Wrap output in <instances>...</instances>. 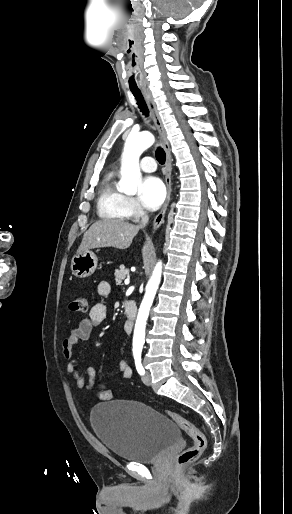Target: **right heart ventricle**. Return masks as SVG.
<instances>
[{
	"label": "right heart ventricle",
	"mask_w": 292,
	"mask_h": 514,
	"mask_svg": "<svg viewBox=\"0 0 292 514\" xmlns=\"http://www.w3.org/2000/svg\"><path fill=\"white\" fill-rule=\"evenodd\" d=\"M115 173L104 175L97 191V212L100 218L121 220L129 213L128 197L114 184Z\"/></svg>",
	"instance_id": "obj_1"
}]
</instances>
